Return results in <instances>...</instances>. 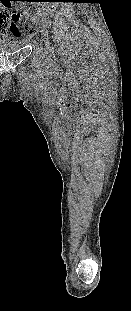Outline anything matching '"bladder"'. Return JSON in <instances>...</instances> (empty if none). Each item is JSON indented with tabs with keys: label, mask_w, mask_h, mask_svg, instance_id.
Listing matches in <instances>:
<instances>
[{
	"label": "bladder",
	"mask_w": 131,
	"mask_h": 311,
	"mask_svg": "<svg viewBox=\"0 0 131 311\" xmlns=\"http://www.w3.org/2000/svg\"><path fill=\"white\" fill-rule=\"evenodd\" d=\"M25 42L23 41H12L8 43H0V53L1 52H13L23 48Z\"/></svg>",
	"instance_id": "31cf9c89"
}]
</instances>
